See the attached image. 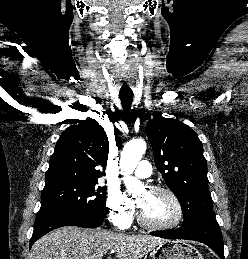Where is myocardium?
<instances>
[{
    "label": "myocardium",
    "mask_w": 248,
    "mask_h": 259,
    "mask_svg": "<svg viewBox=\"0 0 248 259\" xmlns=\"http://www.w3.org/2000/svg\"><path fill=\"white\" fill-rule=\"evenodd\" d=\"M149 191L151 192H155V193H163L165 195H167L172 202L175 205L176 208V216L175 218L166 224H153L151 222H148L142 212L141 209L139 208V212H138V222L141 226H143L146 229H150V230H154V231H167V230H171L176 228L182 221L183 216H184V209H183V205L180 201V199L178 198V196L170 189L163 187V186H152L149 188Z\"/></svg>",
    "instance_id": "1"
}]
</instances>
